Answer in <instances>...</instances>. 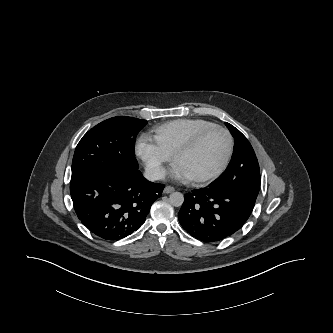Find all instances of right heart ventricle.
<instances>
[{"instance_id": "e07e8e85", "label": "right heart ventricle", "mask_w": 333, "mask_h": 333, "mask_svg": "<svg viewBox=\"0 0 333 333\" xmlns=\"http://www.w3.org/2000/svg\"><path fill=\"white\" fill-rule=\"evenodd\" d=\"M215 125L201 118H184L168 121L153 130L155 143L169 155L205 128Z\"/></svg>"}]
</instances>
